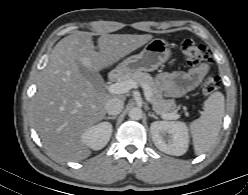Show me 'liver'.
Returning a JSON list of instances; mask_svg holds the SVG:
<instances>
[{
	"label": "liver",
	"instance_id": "1",
	"mask_svg": "<svg viewBox=\"0 0 248 195\" xmlns=\"http://www.w3.org/2000/svg\"><path fill=\"white\" fill-rule=\"evenodd\" d=\"M92 35L76 31L55 45L33 100L35 129L58 159L79 161L90 156L81 135L104 119L106 102L112 98L97 92L81 74L78 62L99 72L152 39L150 34H101L96 52Z\"/></svg>",
	"mask_w": 248,
	"mask_h": 195
}]
</instances>
